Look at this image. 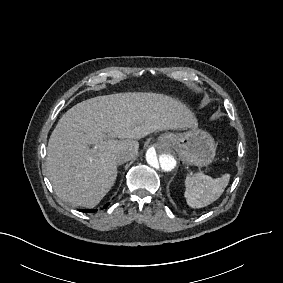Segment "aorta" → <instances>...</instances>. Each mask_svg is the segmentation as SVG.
I'll return each instance as SVG.
<instances>
[{
	"instance_id": "762f6f07",
	"label": "aorta",
	"mask_w": 283,
	"mask_h": 283,
	"mask_svg": "<svg viewBox=\"0 0 283 283\" xmlns=\"http://www.w3.org/2000/svg\"><path fill=\"white\" fill-rule=\"evenodd\" d=\"M146 162L149 171L159 178L171 174L177 167L175 152L164 143H155L147 150Z\"/></svg>"
}]
</instances>
